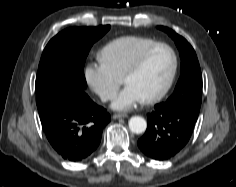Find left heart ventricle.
Wrapping results in <instances>:
<instances>
[{
  "mask_svg": "<svg viewBox=\"0 0 236 187\" xmlns=\"http://www.w3.org/2000/svg\"><path fill=\"white\" fill-rule=\"evenodd\" d=\"M172 67V57L165 48L154 50L146 59L142 68L125 81L133 87L142 99L159 92L165 85Z\"/></svg>",
  "mask_w": 236,
  "mask_h": 187,
  "instance_id": "obj_1",
  "label": "left heart ventricle"
}]
</instances>
